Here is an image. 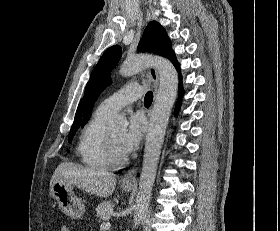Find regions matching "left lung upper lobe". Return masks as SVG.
Masks as SVG:
<instances>
[{"label": "left lung upper lobe", "instance_id": "left-lung-upper-lobe-1", "mask_svg": "<svg viewBox=\"0 0 280 231\" xmlns=\"http://www.w3.org/2000/svg\"><path fill=\"white\" fill-rule=\"evenodd\" d=\"M138 50L143 52H154L170 59L179 70V64L171 47V42L164 28L157 22H150L144 31L143 37L138 45ZM122 55L121 47L118 45L108 48L100 58L98 64L91 73L84 94V119L82 127L90 118L94 103L100 93L111 83L110 71L118 63Z\"/></svg>", "mask_w": 280, "mask_h": 231}]
</instances>
